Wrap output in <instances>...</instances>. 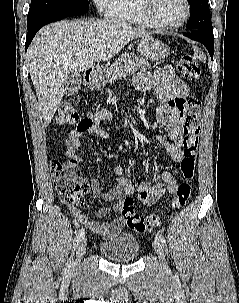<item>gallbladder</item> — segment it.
Here are the masks:
<instances>
[{
	"label": "gallbladder",
	"instance_id": "gallbladder-1",
	"mask_svg": "<svg viewBox=\"0 0 239 303\" xmlns=\"http://www.w3.org/2000/svg\"><path fill=\"white\" fill-rule=\"evenodd\" d=\"M81 76L79 74H71L68 76L66 85V95H73L81 88Z\"/></svg>",
	"mask_w": 239,
	"mask_h": 303
}]
</instances>
